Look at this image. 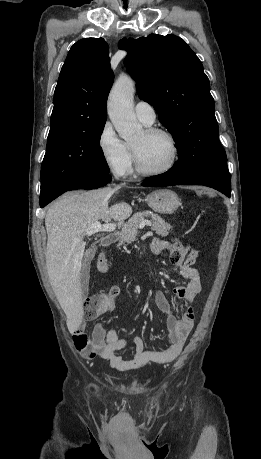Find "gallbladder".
Wrapping results in <instances>:
<instances>
[{"mask_svg": "<svg viewBox=\"0 0 261 459\" xmlns=\"http://www.w3.org/2000/svg\"><path fill=\"white\" fill-rule=\"evenodd\" d=\"M94 255V250L89 251V253L85 256L81 270H80V284L82 289V295L85 297L88 294V286H89V279H90V263Z\"/></svg>", "mask_w": 261, "mask_h": 459, "instance_id": "obj_1", "label": "gallbladder"}]
</instances>
